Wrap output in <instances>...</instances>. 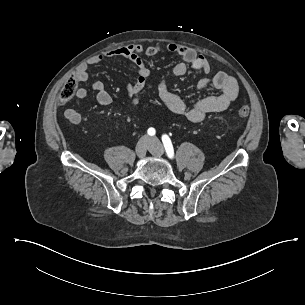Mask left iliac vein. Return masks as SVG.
<instances>
[{"mask_svg": "<svg viewBox=\"0 0 305 305\" xmlns=\"http://www.w3.org/2000/svg\"><path fill=\"white\" fill-rule=\"evenodd\" d=\"M152 147H150V152L155 156H161L164 154L163 146L156 137L150 139Z\"/></svg>", "mask_w": 305, "mask_h": 305, "instance_id": "obj_1", "label": "left iliac vein"}]
</instances>
